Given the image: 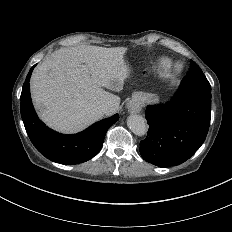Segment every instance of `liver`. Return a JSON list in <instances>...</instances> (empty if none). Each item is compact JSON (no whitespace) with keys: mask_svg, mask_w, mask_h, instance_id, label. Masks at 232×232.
I'll use <instances>...</instances> for the list:
<instances>
[{"mask_svg":"<svg viewBox=\"0 0 232 232\" xmlns=\"http://www.w3.org/2000/svg\"><path fill=\"white\" fill-rule=\"evenodd\" d=\"M127 48L77 46L61 48L35 68L31 77L33 100L41 117L53 128L75 131L100 119V106L115 112L121 92L132 79Z\"/></svg>","mask_w":232,"mask_h":232,"instance_id":"liver-1","label":"liver"}]
</instances>
